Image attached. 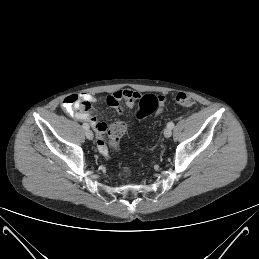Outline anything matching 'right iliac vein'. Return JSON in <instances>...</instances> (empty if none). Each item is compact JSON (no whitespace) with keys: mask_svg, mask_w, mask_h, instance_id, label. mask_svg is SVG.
<instances>
[{"mask_svg":"<svg viewBox=\"0 0 259 259\" xmlns=\"http://www.w3.org/2000/svg\"><path fill=\"white\" fill-rule=\"evenodd\" d=\"M85 135H86V137H87L89 140H92L93 137H94L93 132H92L91 130H89V129H87V130L85 131Z\"/></svg>","mask_w":259,"mask_h":259,"instance_id":"obj_1","label":"right iliac vein"}]
</instances>
